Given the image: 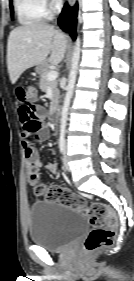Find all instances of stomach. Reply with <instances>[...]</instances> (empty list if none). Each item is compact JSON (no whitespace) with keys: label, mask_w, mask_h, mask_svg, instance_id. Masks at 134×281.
<instances>
[{"label":"stomach","mask_w":134,"mask_h":281,"mask_svg":"<svg viewBox=\"0 0 134 281\" xmlns=\"http://www.w3.org/2000/svg\"><path fill=\"white\" fill-rule=\"evenodd\" d=\"M44 69H45V65H37L36 67V71L38 73H41Z\"/></svg>","instance_id":"stomach-1"}]
</instances>
